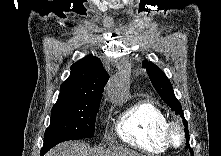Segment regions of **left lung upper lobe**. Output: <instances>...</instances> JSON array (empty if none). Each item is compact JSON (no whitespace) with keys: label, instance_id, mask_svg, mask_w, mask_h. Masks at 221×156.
Returning <instances> with one entry per match:
<instances>
[{"label":"left lung upper lobe","instance_id":"5c2ea615","mask_svg":"<svg viewBox=\"0 0 221 156\" xmlns=\"http://www.w3.org/2000/svg\"><path fill=\"white\" fill-rule=\"evenodd\" d=\"M144 67L160 97L172 110L176 112V114H179L182 118H184L182 107L178 99L175 97L172 85L164 72L148 60H145Z\"/></svg>","mask_w":221,"mask_h":156}]
</instances>
